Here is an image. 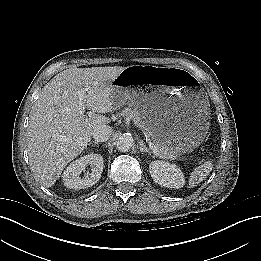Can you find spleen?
I'll use <instances>...</instances> for the list:
<instances>
[{"label":"spleen","mask_w":261,"mask_h":261,"mask_svg":"<svg viewBox=\"0 0 261 261\" xmlns=\"http://www.w3.org/2000/svg\"><path fill=\"white\" fill-rule=\"evenodd\" d=\"M212 161H206L202 165L196 167L190 174L189 187H194L196 184L203 181L212 171Z\"/></svg>","instance_id":"spleen-1"}]
</instances>
